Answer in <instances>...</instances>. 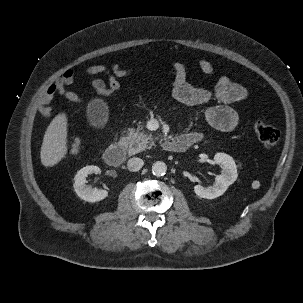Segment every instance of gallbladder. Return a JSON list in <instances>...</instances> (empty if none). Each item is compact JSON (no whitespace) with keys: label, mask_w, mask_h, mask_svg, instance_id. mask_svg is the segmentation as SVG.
I'll use <instances>...</instances> for the list:
<instances>
[{"label":"gallbladder","mask_w":303,"mask_h":303,"mask_svg":"<svg viewBox=\"0 0 303 303\" xmlns=\"http://www.w3.org/2000/svg\"><path fill=\"white\" fill-rule=\"evenodd\" d=\"M87 116L90 124L100 126L107 118V106L100 99L92 100L87 107Z\"/></svg>","instance_id":"gallbladder-1"}]
</instances>
